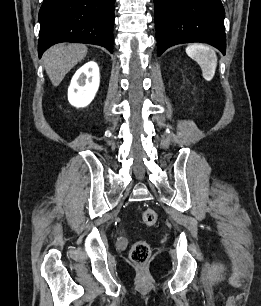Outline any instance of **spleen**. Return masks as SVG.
Masks as SVG:
<instances>
[{
	"mask_svg": "<svg viewBox=\"0 0 261 306\" xmlns=\"http://www.w3.org/2000/svg\"><path fill=\"white\" fill-rule=\"evenodd\" d=\"M186 53L199 64L204 79L211 81L217 67V55L214 49L203 44H193L186 48Z\"/></svg>",
	"mask_w": 261,
	"mask_h": 306,
	"instance_id": "obj_1",
	"label": "spleen"
}]
</instances>
